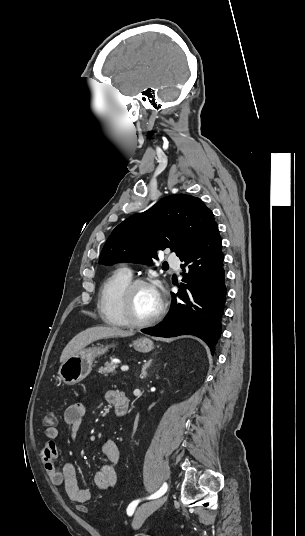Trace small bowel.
<instances>
[{
    "label": "small bowel",
    "instance_id": "small-bowel-1",
    "mask_svg": "<svg viewBox=\"0 0 305 536\" xmlns=\"http://www.w3.org/2000/svg\"><path fill=\"white\" fill-rule=\"evenodd\" d=\"M115 392L110 390L105 393L107 402H113ZM85 416L86 407L81 402L74 403L65 410L64 419L71 425L73 437H76ZM45 436L46 440L43 442L40 454L44 469L51 482L56 486L63 485L68 498L73 502L74 500H89L92 494L88 489L79 487L75 464L68 462L62 469L56 465L59 430L54 426H50L46 429ZM99 448L107 462L94 475V484L98 489L106 490L113 487L117 482L116 465L120 461V450L115 441L109 438L102 440Z\"/></svg>",
    "mask_w": 305,
    "mask_h": 536
}]
</instances>
